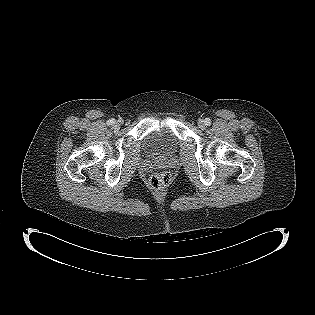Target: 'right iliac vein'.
Masks as SVG:
<instances>
[{
  "mask_svg": "<svg viewBox=\"0 0 315 315\" xmlns=\"http://www.w3.org/2000/svg\"><path fill=\"white\" fill-rule=\"evenodd\" d=\"M119 127H120V121L116 122L115 125H114L115 129H118Z\"/></svg>",
  "mask_w": 315,
  "mask_h": 315,
  "instance_id": "obj_1",
  "label": "right iliac vein"
}]
</instances>
